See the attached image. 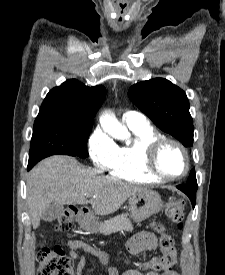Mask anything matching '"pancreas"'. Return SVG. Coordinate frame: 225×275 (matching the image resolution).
<instances>
[{
  "label": "pancreas",
  "instance_id": "pancreas-1",
  "mask_svg": "<svg viewBox=\"0 0 225 275\" xmlns=\"http://www.w3.org/2000/svg\"><path fill=\"white\" fill-rule=\"evenodd\" d=\"M101 233L109 235L119 231H132L133 226L128 214H121L102 223L99 227Z\"/></svg>",
  "mask_w": 225,
  "mask_h": 275
}]
</instances>
